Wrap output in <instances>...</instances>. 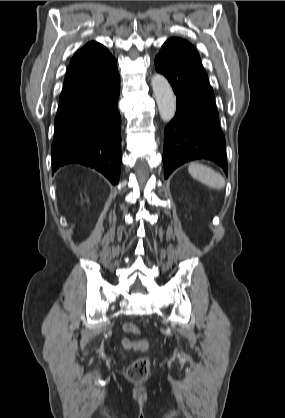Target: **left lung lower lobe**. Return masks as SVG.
Here are the masks:
<instances>
[{"label": "left lung lower lobe", "mask_w": 285, "mask_h": 418, "mask_svg": "<svg viewBox=\"0 0 285 418\" xmlns=\"http://www.w3.org/2000/svg\"><path fill=\"white\" fill-rule=\"evenodd\" d=\"M154 62L177 96L175 117L164 130L165 178L178 166L195 159L211 160L227 173L225 136L198 52L188 41L170 38Z\"/></svg>", "instance_id": "1"}]
</instances>
